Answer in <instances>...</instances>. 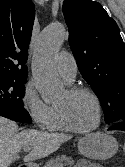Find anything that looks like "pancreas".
I'll return each mask as SVG.
<instances>
[{
  "instance_id": "pancreas-1",
  "label": "pancreas",
  "mask_w": 125,
  "mask_h": 167,
  "mask_svg": "<svg viewBox=\"0 0 125 167\" xmlns=\"http://www.w3.org/2000/svg\"><path fill=\"white\" fill-rule=\"evenodd\" d=\"M60 164H64L67 166H72L74 164V160L70 157H66L64 155L62 156H57L56 158H53L46 162V164L43 167H57Z\"/></svg>"
}]
</instances>
